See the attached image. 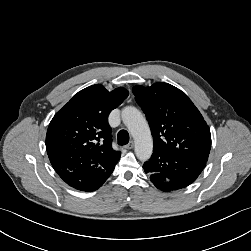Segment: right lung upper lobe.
Here are the masks:
<instances>
[{"instance_id": "obj_1", "label": "right lung upper lobe", "mask_w": 251, "mask_h": 251, "mask_svg": "<svg viewBox=\"0 0 251 251\" xmlns=\"http://www.w3.org/2000/svg\"><path fill=\"white\" fill-rule=\"evenodd\" d=\"M128 94L122 87L109 92L99 84L75 94L49 124L46 134L49 158L67 151L72 160L96 162L103 171L112 172L121 153L111 147L108 115Z\"/></svg>"}]
</instances>
